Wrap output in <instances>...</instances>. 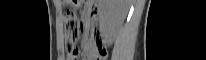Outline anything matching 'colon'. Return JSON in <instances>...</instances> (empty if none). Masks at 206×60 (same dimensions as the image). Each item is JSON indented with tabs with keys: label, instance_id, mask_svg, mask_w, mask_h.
<instances>
[{
	"label": "colon",
	"instance_id": "1",
	"mask_svg": "<svg viewBox=\"0 0 206 60\" xmlns=\"http://www.w3.org/2000/svg\"><path fill=\"white\" fill-rule=\"evenodd\" d=\"M65 29L67 33V50L75 56L77 54L76 44L80 37V23L71 10H67L65 14ZM108 57L107 51L103 48L100 42L96 41V59L106 60Z\"/></svg>",
	"mask_w": 206,
	"mask_h": 60
}]
</instances>
